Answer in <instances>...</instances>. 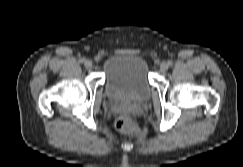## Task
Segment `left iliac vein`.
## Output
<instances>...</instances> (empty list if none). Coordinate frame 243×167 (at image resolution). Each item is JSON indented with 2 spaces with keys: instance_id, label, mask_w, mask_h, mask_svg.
Masks as SVG:
<instances>
[{
  "instance_id": "4c4485c4",
  "label": "left iliac vein",
  "mask_w": 243,
  "mask_h": 167,
  "mask_svg": "<svg viewBox=\"0 0 243 167\" xmlns=\"http://www.w3.org/2000/svg\"><path fill=\"white\" fill-rule=\"evenodd\" d=\"M169 68V65L166 62L161 63L160 65V71L161 72H166Z\"/></svg>"
}]
</instances>
